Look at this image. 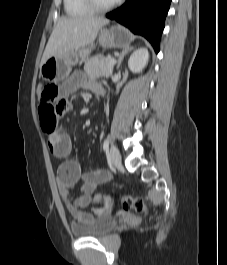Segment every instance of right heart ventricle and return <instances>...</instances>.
Wrapping results in <instances>:
<instances>
[{
    "mask_svg": "<svg viewBox=\"0 0 227 265\" xmlns=\"http://www.w3.org/2000/svg\"><path fill=\"white\" fill-rule=\"evenodd\" d=\"M63 3L65 12L69 16H82L92 12L83 0H63Z\"/></svg>",
    "mask_w": 227,
    "mask_h": 265,
    "instance_id": "e07e8e85",
    "label": "right heart ventricle"
}]
</instances>
